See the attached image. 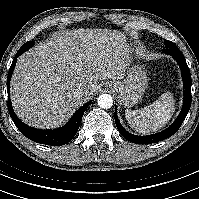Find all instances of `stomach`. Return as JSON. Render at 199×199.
Returning <instances> with one entry per match:
<instances>
[{
    "label": "stomach",
    "mask_w": 199,
    "mask_h": 199,
    "mask_svg": "<svg viewBox=\"0 0 199 199\" xmlns=\"http://www.w3.org/2000/svg\"><path fill=\"white\" fill-rule=\"evenodd\" d=\"M148 85V77L142 65H133L128 68L123 81H110L106 86L112 89L120 102L126 107L137 105L143 98Z\"/></svg>",
    "instance_id": "stomach-1"
}]
</instances>
